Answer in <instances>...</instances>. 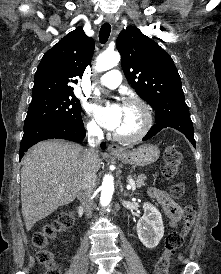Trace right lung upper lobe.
<instances>
[{
	"mask_svg": "<svg viewBox=\"0 0 221 274\" xmlns=\"http://www.w3.org/2000/svg\"><path fill=\"white\" fill-rule=\"evenodd\" d=\"M94 53V40L77 27L48 50L34 77L32 99L73 93Z\"/></svg>",
	"mask_w": 221,
	"mask_h": 274,
	"instance_id": "cb5924a9",
	"label": "right lung upper lobe"
}]
</instances>
